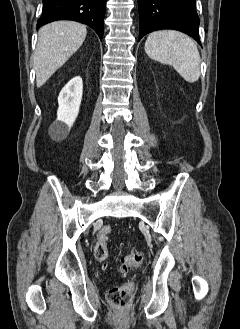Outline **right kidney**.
<instances>
[{"label": "right kidney", "mask_w": 240, "mask_h": 329, "mask_svg": "<svg viewBox=\"0 0 240 329\" xmlns=\"http://www.w3.org/2000/svg\"><path fill=\"white\" fill-rule=\"evenodd\" d=\"M82 92L83 82L79 76L71 79L61 90L58 96L57 119L50 126V132L54 137L62 138L68 135L79 113Z\"/></svg>", "instance_id": "1"}]
</instances>
